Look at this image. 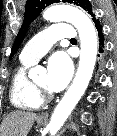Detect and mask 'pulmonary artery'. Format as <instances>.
<instances>
[{
	"label": "pulmonary artery",
	"mask_w": 117,
	"mask_h": 136,
	"mask_svg": "<svg viewBox=\"0 0 117 136\" xmlns=\"http://www.w3.org/2000/svg\"><path fill=\"white\" fill-rule=\"evenodd\" d=\"M74 28L66 23H57L42 30L22 49L21 60L34 63L44 56L49 48L60 39L75 38Z\"/></svg>",
	"instance_id": "pulmonary-artery-1"
}]
</instances>
